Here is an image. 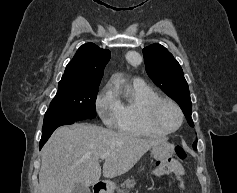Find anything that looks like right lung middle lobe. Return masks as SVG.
<instances>
[{
	"instance_id": "dd1d6c3e",
	"label": "right lung middle lobe",
	"mask_w": 237,
	"mask_h": 193,
	"mask_svg": "<svg viewBox=\"0 0 237 193\" xmlns=\"http://www.w3.org/2000/svg\"><path fill=\"white\" fill-rule=\"evenodd\" d=\"M98 87L99 85L60 81L46 114L63 116L74 121L95 118Z\"/></svg>"
}]
</instances>
